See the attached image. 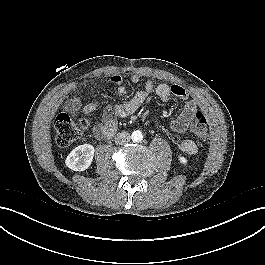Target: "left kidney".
Wrapping results in <instances>:
<instances>
[{
  "label": "left kidney",
  "instance_id": "obj_1",
  "mask_svg": "<svg viewBox=\"0 0 265 265\" xmlns=\"http://www.w3.org/2000/svg\"><path fill=\"white\" fill-rule=\"evenodd\" d=\"M178 159H179L181 164H187V159L185 157L179 156Z\"/></svg>",
  "mask_w": 265,
  "mask_h": 265
}]
</instances>
